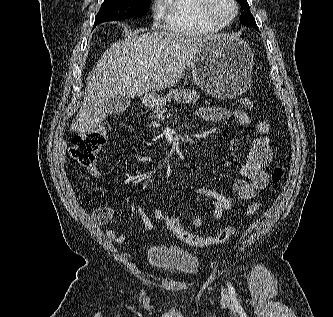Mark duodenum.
Here are the masks:
<instances>
[{"mask_svg":"<svg viewBox=\"0 0 333 317\" xmlns=\"http://www.w3.org/2000/svg\"><path fill=\"white\" fill-rule=\"evenodd\" d=\"M155 99L153 96H147L145 98V105L151 106L154 103Z\"/></svg>","mask_w":333,"mask_h":317,"instance_id":"1","label":"duodenum"}]
</instances>
